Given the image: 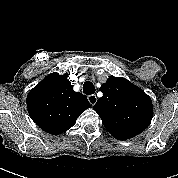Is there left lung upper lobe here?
Wrapping results in <instances>:
<instances>
[{
  "mask_svg": "<svg viewBox=\"0 0 178 178\" xmlns=\"http://www.w3.org/2000/svg\"><path fill=\"white\" fill-rule=\"evenodd\" d=\"M99 90L103 96L93 109L113 137L119 140L132 138L150 124L153 106L141 88L125 78L111 76Z\"/></svg>",
  "mask_w": 178,
  "mask_h": 178,
  "instance_id": "1",
  "label": "left lung upper lobe"
}]
</instances>
